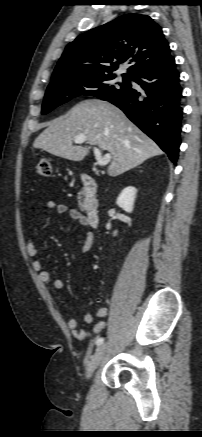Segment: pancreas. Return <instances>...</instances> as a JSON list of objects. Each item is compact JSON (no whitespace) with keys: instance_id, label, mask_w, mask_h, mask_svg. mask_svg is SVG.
<instances>
[{"instance_id":"pancreas-1","label":"pancreas","mask_w":202,"mask_h":437,"mask_svg":"<svg viewBox=\"0 0 202 437\" xmlns=\"http://www.w3.org/2000/svg\"><path fill=\"white\" fill-rule=\"evenodd\" d=\"M79 206H80V208H83V202H82L81 196L79 197Z\"/></svg>"}]
</instances>
